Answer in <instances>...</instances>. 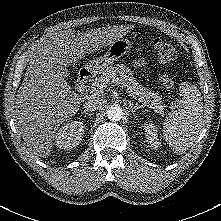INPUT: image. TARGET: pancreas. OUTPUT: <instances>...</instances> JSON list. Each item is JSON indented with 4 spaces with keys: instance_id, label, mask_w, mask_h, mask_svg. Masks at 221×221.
Here are the masks:
<instances>
[{
    "instance_id": "obj_1",
    "label": "pancreas",
    "mask_w": 221,
    "mask_h": 221,
    "mask_svg": "<svg viewBox=\"0 0 221 221\" xmlns=\"http://www.w3.org/2000/svg\"><path fill=\"white\" fill-rule=\"evenodd\" d=\"M119 76V82L130 96L138 98V101L153 109L159 115H164L165 106L162 105L161 97L157 93L149 91L147 88L138 85L132 71L122 65L112 66L106 68L99 76V78L92 84V87L103 85L104 87L114 78ZM100 93H103L101 91ZM99 93V94H100Z\"/></svg>"
}]
</instances>
